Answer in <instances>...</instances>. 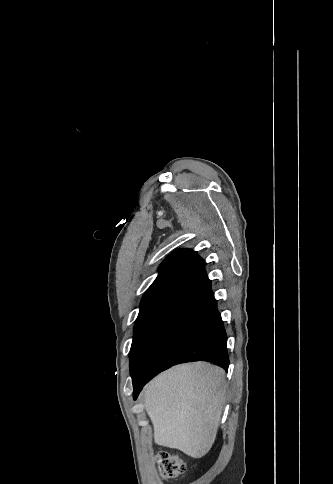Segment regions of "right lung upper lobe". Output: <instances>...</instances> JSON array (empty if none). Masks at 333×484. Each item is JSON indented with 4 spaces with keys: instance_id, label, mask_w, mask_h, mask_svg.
I'll return each mask as SVG.
<instances>
[{
    "instance_id": "right-lung-upper-lobe-1",
    "label": "right lung upper lobe",
    "mask_w": 333,
    "mask_h": 484,
    "mask_svg": "<svg viewBox=\"0 0 333 484\" xmlns=\"http://www.w3.org/2000/svg\"><path fill=\"white\" fill-rule=\"evenodd\" d=\"M159 274L147 289L140 306L160 302L206 273L204 261L189 249L176 250L160 265Z\"/></svg>"
}]
</instances>
